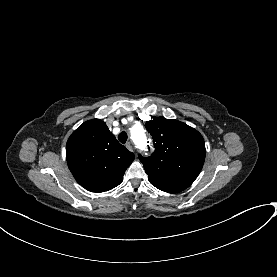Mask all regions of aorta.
<instances>
[{
  "instance_id": "762f6f07",
  "label": "aorta",
  "mask_w": 277,
  "mask_h": 277,
  "mask_svg": "<svg viewBox=\"0 0 277 277\" xmlns=\"http://www.w3.org/2000/svg\"><path fill=\"white\" fill-rule=\"evenodd\" d=\"M131 137L134 141V143L139 147V148H144L146 145V136L144 133V130L141 125H135L131 129Z\"/></svg>"
}]
</instances>
